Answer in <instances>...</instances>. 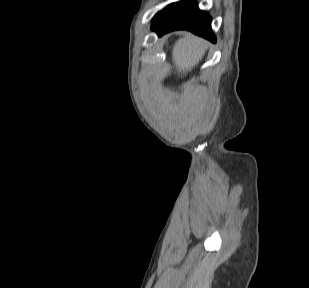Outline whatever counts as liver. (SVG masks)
<instances>
[{"mask_svg": "<svg viewBox=\"0 0 309 288\" xmlns=\"http://www.w3.org/2000/svg\"><path fill=\"white\" fill-rule=\"evenodd\" d=\"M207 48V42L192 34H187L184 38L179 39L173 48V63L181 74H186L193 67L198 65L203 58ZM154 101L164 110L170 107L173 101V94L166 89H157L154 94Z\"/></svg>", "mask_w": 309, "mask_h": 288, "instance_id": "liver-1", "label": "liver"}]
</instances>
